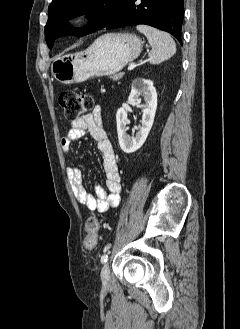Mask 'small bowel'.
<instances>
[{"label":"small bowel","mask_w":240,"mask_h":329,"mask_svg":"<svg viewBox=\"0 0 240 329\" xmlns=\"http://www.w3.org/2000/svg\"><path fill=\"white\" fill-rule=\"evenodd\" d=\"M86 133H89L94 139L102 155L107 190L100 185H96L94 195L89 193L83 185L82 171L77 166H69L67 174L76 199L89 210L103 213L110 207L119 204L122 188L117 159L104 130L102 112L98 105L90 113L71 122L68 133L60 141L64 153H69L72 143L82 138Z\"/></svg>","instance_id":"obj_1"}]
</instances>
